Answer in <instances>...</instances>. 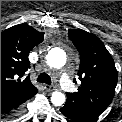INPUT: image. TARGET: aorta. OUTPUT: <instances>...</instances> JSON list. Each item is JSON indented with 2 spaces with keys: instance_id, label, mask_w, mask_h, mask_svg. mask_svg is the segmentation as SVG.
Segmentation results:
<instances>
[{
  "instance_id": "aorta-1",
  "label": "aorta",
  "mask_w": 122,
  "mask_h": 122,
  "mask_svg": "<svg viewBox=\"0 0 122 122\" xmlns=\"http://www.w3.org/2000/svg\"><path fill=\"white\" fill-rule=\"evenodd\" d=\"M47 63L55 69L62 68L66 63V54L62 49H52L47 55ZM65 95L62 92L54 91L51 95V102L55 106H61L65 102Z\"/></svg>"
}]
</instances>
